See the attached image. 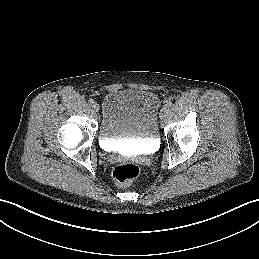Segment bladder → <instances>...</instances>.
<instances>
[{
    "instance_id": "1",
    "label": "bladder",
    "mask_w": 259,
    "mask_h": 259,
    "mask_svg": "<svg viewBox=\"0 0 259 259\" xmlns=\"http://www.w3.org/2000/svg\"><path fill=\"white\" fill-rule=\"evenodd\" d=\"M158 96L149 90L122 89L103 99L99 139L104 143L149 145L158 138Z\"/></svg>"
}]
</instances>
